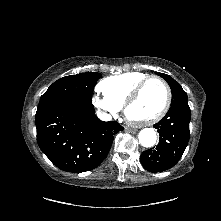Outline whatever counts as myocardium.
Masks as SVG:
<instances>
[{"instance_id": "myocardium-1", "label": "myocardium", "mask_w": 221, "mask_h": 221, "mask_svg": "<svg viewBox=\"0 0 221 221\" xmlns=\"http://www.w3.org/2000/svg\"><path fill=\"white\" fill-rule=\"evenodd\" d=\"M152 80L159 81L165 89L166 97H165L164 105L158 113H156L154 116H152L148 119H144V120L133 119L129 115L130 107L138 99V97H139L141 91L143 90V88L145 87V85ZM171 98H172V94H171L170 86L163 78L156 76V75L147 76L132 90V92L130 93V95L128 96V98L126 99V101L123 105L124 115L126 117V120L128 121V123H130L131 125H133L135 127H144V126L153 125L156 122H158L160 119H162L164 117V115L167 113V111L171 105Z\"/></svg>"}]
</instances>
